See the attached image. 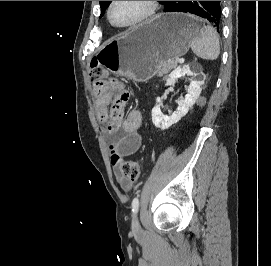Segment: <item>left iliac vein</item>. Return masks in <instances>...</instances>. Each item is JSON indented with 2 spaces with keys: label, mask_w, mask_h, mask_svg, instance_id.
<instances>
[{
  "label": "left iliac vein",
  "mask_w": 271,
  "mask_h": 266,
  "mask_svg": "<svg viewBox=\"0 0 271 266\" xmlns=\"http://www.w3.org/2000/svg\"><path fill=\"white\" fill-rule=\"evenodd\" d=\"M132 229L134 232H138L141 229L139 220L136 215L132 219Z\"/></svg>",
  "instance_id": "left-iliac-vein-1"
}]
</instances>
